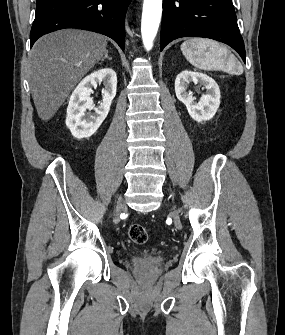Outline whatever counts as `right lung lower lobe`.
<instances>
[{
  "label": "right lung lower lobe",
  "mask_w": 285,
  "mask_h": 335,
  "mask_svg": "<svg viewBox=\"0 0 285 335\" xmlns=\"http://www.w3.org/2000/svg\"><path fill=\"white\" fill-rule=\"evenodd\" d=\"M131 0H37L30 40L65 29L82 28L104 34L124 50V19Z\"/></svg>",
  "instance_id": "98d812e1"
}]
</instances>
